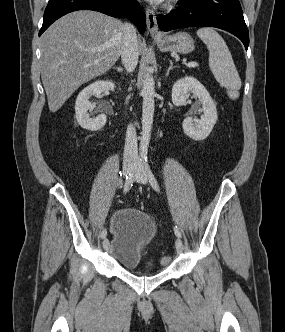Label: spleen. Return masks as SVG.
Segmentation results:
<instances>
[{"mask_svg": "<svg viewBox=\"0 0 285 332\" xmlns=\"http://www.w3.org/2000/svg\"><path fill=\"white\" fill-rule=\"evenodd\" d=\"M197 36L207 46L209 67L216 81L226 88L230 99H237L241 88V79L224 39L210 27L198 29Z\"/></svg>", "mask_w": 285, "mask_h": 332, "instance_id": "3e777b00", "label": "spleen"}]
</instances>
